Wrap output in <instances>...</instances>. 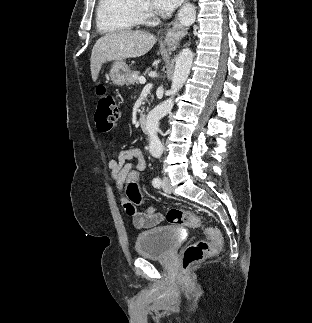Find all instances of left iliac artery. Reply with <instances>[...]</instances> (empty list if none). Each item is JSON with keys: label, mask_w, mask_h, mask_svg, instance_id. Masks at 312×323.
Segmentation results:
<instances>
[{"label": "left iliac artery", "mask_w": 312, "mask_h": 323, "mask_svg": "<svg viewBox=\"0 0 312 323\" xmlns=\"http://www.w3.org/2000/svg\"><path fill=\"white\" fill-rule=\"evenodd\" d=\"M152 184L154 187H160L161 186V179L159 177H155L152 181Z\"/></svg>", "instance_id": "obj_1"}]
</instances>
